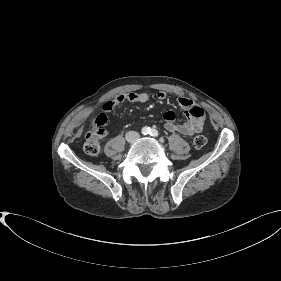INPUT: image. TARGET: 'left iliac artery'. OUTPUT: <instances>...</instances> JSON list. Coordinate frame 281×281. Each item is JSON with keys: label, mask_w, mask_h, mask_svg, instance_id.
<instances>
[{"label": "left iliac artery", "mask_w": 281, "mask_h": 281, "mask_svg": "<svg viewBox=\"0 0 281 281\" xmlns=\"http://www.w3.org/2000/svg\"><path fill=\"white\" fill-rule=\"evenodd\" d=\"M150 135L153 136V137H157L159 135V133L156 129H151Z\"/></svg>", "instance_id": "obj_1"}]
</instances>
